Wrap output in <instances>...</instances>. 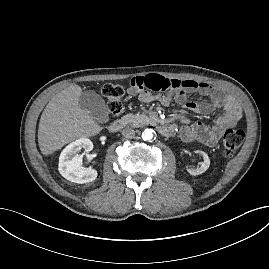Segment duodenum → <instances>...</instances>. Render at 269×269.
I'll return each mask as SVG.
<instances>
[{
  "label": "duodenum",
  "mask_w": 269,
  "mask_h": 269,
  "mask_svg": "<svg viewBox=\"0 0 269 269\" xmlns=\"http://www.w3.org/2000/svg\"><path fill=\"white\" fill-rule=\"evenodd\" d=\"M123 125H124V122L122 120H117V121L112 122L109 125L108 129L111 133H116V132L121 130ZM157 128H158V131L162 135H165V136H169V135L173 134L174 130H175L174 126L171 124H162V125L158 126Z\"/></svg>",
  "instance_id": "duodenum-1"
}]
</instances>
